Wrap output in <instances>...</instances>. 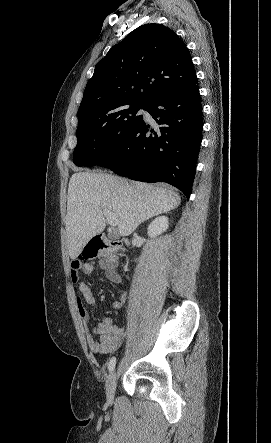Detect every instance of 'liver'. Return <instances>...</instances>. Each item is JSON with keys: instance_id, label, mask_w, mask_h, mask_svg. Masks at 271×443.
<instances>
[{"instance_id": "1", "label": "liver", "mask_w": 271, "mask_h": 443, "mask_svg": "<svg viewBox=\"0 0 271 443\" xmlns=\"http://www.w3.org/2000/svg\"><path fill=\"white\" fill-rule=\"evenodd\" d=\"M181 198L172 190L96 172L73 174L68 184L66 237L71 259L80 255L91 237L105 229L103 210L113 212L120 235H130L153 216L170 212Z\"/></svg>"}]
</instances>
